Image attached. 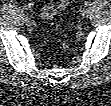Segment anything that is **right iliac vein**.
Instances as JSON below:
<instances>
[{
  "instance_id": "obj_1",
  "label": "right iliac vein",
  "mask_w": 111,
  "mask_h": 106,
  "mask_svg": "<svg viewBox=\"0 0 111 106\" xmlns=\"http://www.w3.org/2000/svg\"><path fill=\"white\" fill-rule=\"evenodd\" d=\"M25 23L29 25L31 23V18L25 19Z\"/></svg>"
}]
</instances>
